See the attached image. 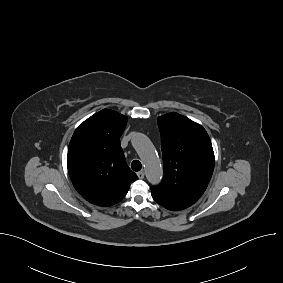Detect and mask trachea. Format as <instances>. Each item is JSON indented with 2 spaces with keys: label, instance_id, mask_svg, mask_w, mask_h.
Wrapping results in <instances>:
<instances>
[{
  "label": "trachea",
  "instance_id": "1",
  "mask_svg": "<svg viewBox=\"0 0 283 283\" xmlns=\"http://www.w3.org/2000/svg\"><path fill=\"white\" fill-rule=\"evenodd\" d=\"M131 168L132 170L134 171H140L141 168H142V164L139 160H134L132 163H131Z\"/></svg>",
  "mask_w": 283,
  "mask_h": 283
}]
</instances>
